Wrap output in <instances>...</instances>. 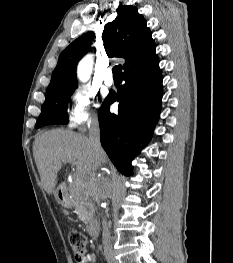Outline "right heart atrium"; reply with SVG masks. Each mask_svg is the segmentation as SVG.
<instances>
[{
    "label": "right heart atrium",
    "mask_w": 233,
    "mask_h": 263,
    "mask_svg": "<svg viewBox=\"0 0 233 263\" xmlns=\"http://www.w3.org/2000/svg\"><path fill=\"white\" fill-rule=\"evenodd\" d=\"M98 106L96 94L86 86L73 89L68 110V125L72 128L96 120L94 109Z\"/></svg>",
    "instance_id": "right-heart-atrium-1"
}]
</instances>
